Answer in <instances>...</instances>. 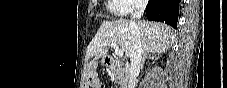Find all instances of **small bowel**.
<instances>
[{"label":"small bowel","mask_w":227,"mask_h":88,"mask_svg":"<svg viewBox=\"0 0 227 88\" xmlns=\"http://www.w3.org/2000/svg\"><path fill=\"white\" fill-rule=\"evenodd\" d=\"M89 70L92 71L93 70V66H90ZM99 87H102V86H99Z\"/></svg>","instance_id":"obj_1"}]
</instances>
